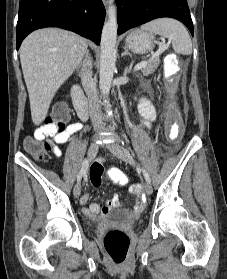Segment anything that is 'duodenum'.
Returning <instances> with one entry per match:
<instances>
[{
	"mask_svg": "<svg viewBox=\"0 0 227 279\" xmlns=\"http://www.w3.org/2000/svg\"><path fill=\"white\" fill-rule=\"evenodd\" d=\"M72 101L74 108L81 120L85 121L88 118V101L78 84L72 86L71 89Z\"/></svg>",
	"mask_w": 227,
	"mask_h": 279,
	"instance_id": "410a0bca",
	"label": "duodenum"
}]
</instances>
